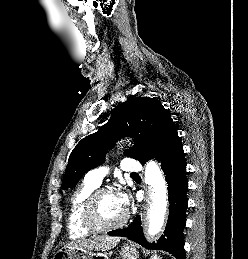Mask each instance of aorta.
<instances>
[{"label": "aorta", "instance_id": "762f6f07", "mask_svg": "<svg viewBox=\"0 0 248 259\" xmlns=\"http://www.w3.org/2000/svg\"><path fill=\"white\" fill-rule=\"evenodd\" d=\"M147 181L151 186V203L148 210V229L150 237L156 236L164 225L167 212L168 191L162 171L157 163L152 161L148 165Z\"/></svg>", "mask_w": 248, "mask_h": 259}]
</instances>
